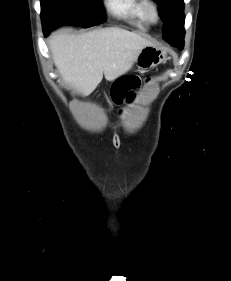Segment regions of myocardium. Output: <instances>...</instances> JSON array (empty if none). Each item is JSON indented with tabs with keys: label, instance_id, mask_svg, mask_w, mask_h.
I'll return each mask as SVG.
<instances>
[{
	"label": "myocardium",
	"instance_id": "1",
	"mask_svg": "<svg viewBox=\"0 0 231 281\" xmlns=\"http://www.w3.org/2000/svg\"><path fill=\"white\" fill-rule=\"evenodd\" d=\"M143 12L149 22L156 23L160 19V9L154 0H142Z\"/></svg>",
	"mask_w": 231,
	"mask_h": 281
}]
</instances>
